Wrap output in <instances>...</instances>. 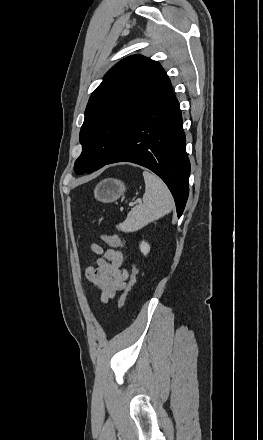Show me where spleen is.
Masks as SVG:
<instances>
[{
	"label": "spleen",
	"mask_w": 263,
	"mask_h": 440,
	"mask_svg": "<svg viewBox=\"0 0 263 440\" xmlns=\"http://www.w3.org/2000/svg\"><path fill=\"white\" fill-rule=\"evenodd\" d=\"M143 177L145 193L142 203L131 209L125 221L117 225V228L123 232L142 229L147 224L169 214L174 207L173 197L159 177L149 171H144Z\"/></svg>",
	"instance_id": "1"
}]
</instances>
